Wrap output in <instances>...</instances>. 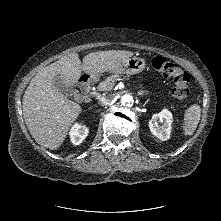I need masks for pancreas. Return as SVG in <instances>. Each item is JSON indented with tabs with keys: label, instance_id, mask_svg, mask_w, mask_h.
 I'll list each match as a JSON object with an SVG mask.
<instances>
[{
	"label": "pancreas",
	"instance_id": "pancreas-1",
	"mask_svg": "<svg viewBox=\"0 0 221 221\" xmlns=\"http://www.w3.org/2000/svg\"><path fill=\"white\" fill-rule=\"evenodd\" d=\"M118 80H120L119 75H111L98 85V90L102 92L110 91Z\"/></svg>",
	"mask_w": 221,
	"mask_h": 221
}]
</instances>
